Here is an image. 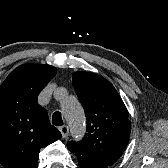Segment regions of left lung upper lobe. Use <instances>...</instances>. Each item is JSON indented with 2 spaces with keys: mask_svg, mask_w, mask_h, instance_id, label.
<instances>
[{
  "mask_svg": "<svg viewBox=\"0 0 168 168\" xmlns=\"http://www.w3.org/2000/svg\"><path fill=\"white\" fill-rule=\"evenodd\" d=\"M72 82L85 111L87 133L80 142H68V149L111 166L129 141L127 108L113 85L99 75L78 71Z\"/></svg>",
  "mask_w": 168,
  "mask_h": 168,
  "instance_id": "left-lung-upper-lobe-1",
  "label": "left lung upper lobe"
}]
</instances>
